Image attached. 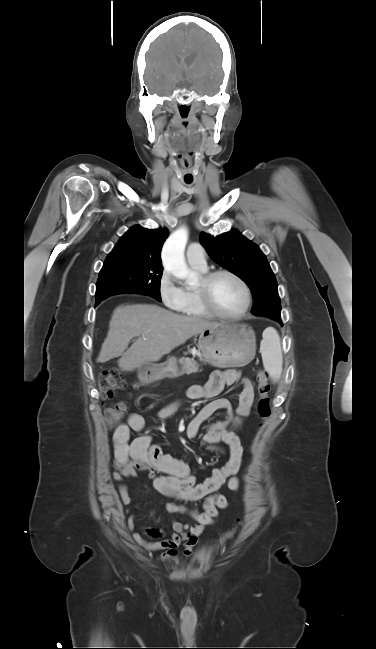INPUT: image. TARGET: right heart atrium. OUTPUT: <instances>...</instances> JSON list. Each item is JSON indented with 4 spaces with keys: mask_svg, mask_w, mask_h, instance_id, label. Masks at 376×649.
I'll use <instances>...</instances> for the list:
<instances>
[{
    "mask_svg": "<svg viewBox=\"0 0 376 649\" xmlns=\"http://www.w3.org/2000/svg\"><path fill=\"white\" fill-rule=\"evenodd\" d=\"M158 294L161 301L171 309H178L183 300V290L174 276L164 269L158 279Z\"/></svg>",
    "mask_w": 376,
    "mask_h": 649,
    "instance_id": "right-heart-atrium-1",
    "label": "right heart atrium"
}]
</instances>
